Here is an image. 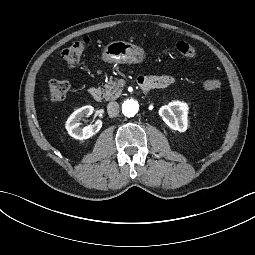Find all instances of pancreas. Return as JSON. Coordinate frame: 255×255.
I'll return each instance as SVG.
<instances>
[{
  "mask_svg": "<svg viewBox=\"0 0 255 255\" xmlns=\"http://www.w3.org/2000/svg\"><path fill=\"white\" fill-rule=\"evenodd\" d=\"M103 98L107 101L116 100L122 94V89L118 86L117 82L110 77L109 81L103 86Z\"/></svg>",
  "mask_w": 255,
  "mask_h": 255,
  "instance_id": "1",
  "label": "pancreas"
}]
</instances>
